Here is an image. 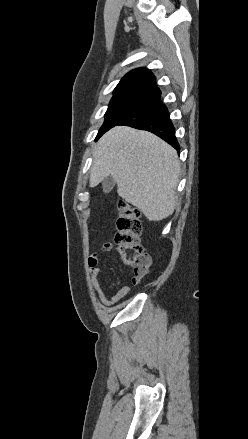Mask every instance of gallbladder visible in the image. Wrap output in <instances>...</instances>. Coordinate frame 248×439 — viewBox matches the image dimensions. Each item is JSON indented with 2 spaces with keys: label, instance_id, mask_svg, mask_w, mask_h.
<instances>
[{
  "label": "gallbladder",
  "instance_id": "gallbladder-1",
  "mask_svg": "<svg viewBox=\"0 0 248 439\" xmlns=\"http://www.w3.org/2000/svg\"><path fill=\"white\" fill-rule=\"evenodd\" d=\"M115 186V180L112 176H108L103 180L102 187L104 193H109Z\"/></svg>",
  "mask_w": 248,
  "mask_h": 439
}]
</instances>
